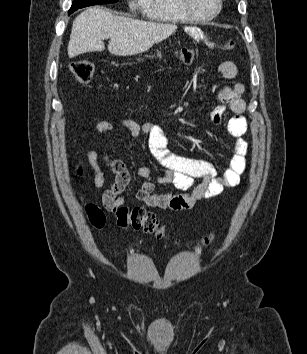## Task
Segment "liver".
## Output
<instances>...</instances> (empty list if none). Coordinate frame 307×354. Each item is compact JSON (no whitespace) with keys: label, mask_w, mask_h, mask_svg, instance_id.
<instances>
[{"label":"liver","mask_w":307,"mask_h":354,"mask_svg":"<svg viewBox=\"0 0 307 354\" xmlns=\"http://www.w3.org/2000/svg\"><path fill=\"white\" fill-rule=\"evenodd\" d=\"M177 30V26L116 16L110 10L89 7L73 21L68 56L103 51V40L110 38L108 51L118 56L136 55L149 50Z\"/></svg>","instance_id":"obj_1"}]
</instances>
